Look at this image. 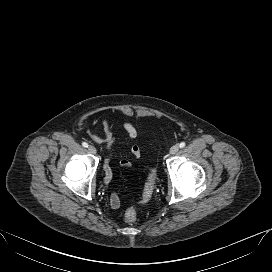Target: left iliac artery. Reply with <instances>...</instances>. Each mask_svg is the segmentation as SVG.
I'll return each instance as SVG.
<instances>
[{
	"label": "left iliac artery",
	"mask_w": 272,
	"mask_h": 272,
	"mask_svg": "<svg viewBox=\"0 0 272 272\" xmlns=\"http://www.w3.org/2000/svg\"><path fill=\"white\" fill-rule=\"evenodd\" d=\"M185 145H186L185 142H181V143L179 144V147H180V148H183V147H185Z\"/></svg>",
	"instance_id": "1"
}]
</instances>
